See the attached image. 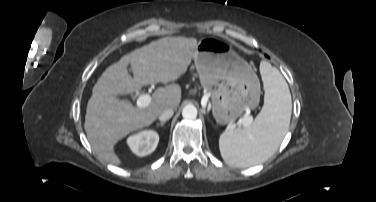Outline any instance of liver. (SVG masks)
<instances>
[{
    "label": "liver",
    "mask_w": 376,
    "mask_h": 202,
    "mask_svg": "<svg viewBox=\"0 0 376 202\" xmlns=\"http://www.w3.org/2000/svg\"><path fill=\"white\" fill-rule=\"evenodd\" d=\"M197 44L195 38H161L124 55L103 72L93 87L84 123L88 141L101 159L120 165L115 144L128 133L149 126L164 110L177 109L181 88L177 84L160 87L150 104L142 107H134L116 95L133 94L144 85L177 80L187 71ZM129 64L134 78L127 70Z\"/></svg>",
    "instance_id": "obj_1"
}]
</instances>
